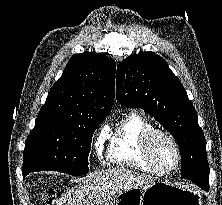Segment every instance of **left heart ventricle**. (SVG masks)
<instances>
[{
    "mask_svg": "<svg viewBox=\"0 0 222 205\" xmlns=\"http://www.w3.org/2000/svg\"><path fill=\"white\" fill-rule=\"evenodd\" d=\"M152 150L157 161L164 167H172L176 161V150L167 139L157 136L152 142Z\"/></svg>",
    "mask_w": 222,
    "mask_h": 205,
    "instance_id": "obj_1",
    "label": "left heart ventricle"
}]
</instances>
